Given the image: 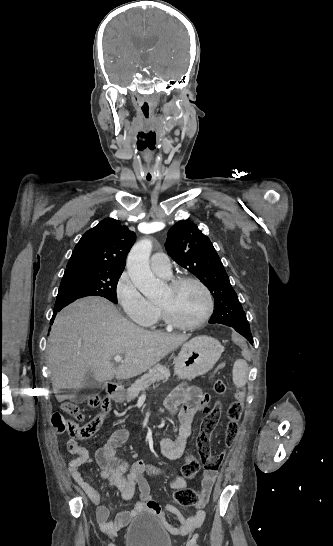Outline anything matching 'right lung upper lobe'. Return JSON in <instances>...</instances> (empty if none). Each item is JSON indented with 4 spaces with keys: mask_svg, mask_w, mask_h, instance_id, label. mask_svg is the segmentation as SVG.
Listing matches in <instances>:
<instances>
[{
    "mask_svg": "<svg viewBox=\"0 0 333 546\" xmlns=\"http://www.w3.org/2000/svg\"><path fill=\"white\" fill-rule=\"evenodd\" d=\"M136 235L116 219H104L87 231L75 246L65 274L124 270Z\"/></svg>",
    "mask_w": 333,
    "mask_h": 546,
    "instance_id": "1",
    "label": "right lung upper lobe"
}]
</instances>
